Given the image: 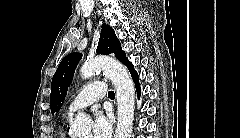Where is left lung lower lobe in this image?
Wrapping results in <instances>:
<instances>
[{
	"mask_svg": "<svg viewBox=\"0 0 240 138\" xmlns=\"http://www.w3.org/2000/svg\"><path fill=\"white\" fill-rule=\"evenodd\" d=\"M126 66L128 67V69H129V71H130V73H131V75H132V78H133V80H134V82H135V85H136L137 94H138V96H139V95H140V85H139V83H138V81H139V76H138L137 72L134 70V67H133V65L131 64V62H128Z\"/></svg>",
	"mask_w": 240,
	"mask_h": 138,
	"instance_id": "0a47b994",
	"label": "left lung lower lobe"
}]
</instances>
